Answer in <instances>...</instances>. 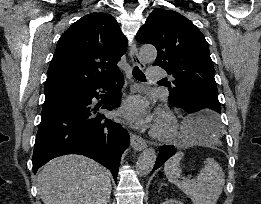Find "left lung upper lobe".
<instances>
[{
	"label": "left lung upper lobe",
	"instance_id": "1",
	"mask_svg": "<svg viewBox=\"0 0 261 204\" xmlns=\"http://www.w3.org/2000/svg\"><path fill=\"white\" fill-rule=\"evenodd\" d=\"M136 39L154 45L158 53L154 65L175 78L168 86L172 105L200 103L219 119L220 103L208 43L189 19L172 10L155 9Z\"/></svg>",
	"mask_w": 261,
	"mask_h": 204
}]
</instances>
